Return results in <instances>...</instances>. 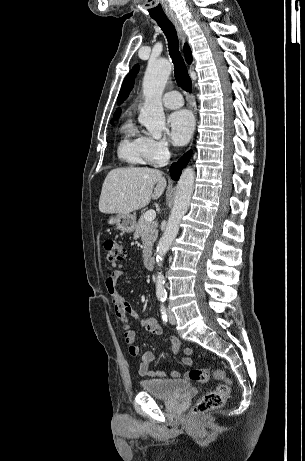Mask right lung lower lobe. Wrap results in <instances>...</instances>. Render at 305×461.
I'll return each mask as SVG.
<instances>
[{"label": "right lung lower lobe", "instance_id": "right-lung-lower-lobe-1", "mask_svg": "<svg viewBox=\"0 0 305 461\" xmlns=\"http://www.w3.org/2000/svg\"><path fill=\"white\" fill-rule=\"evenodd\" d=\"M191 157V151L187 152L177 163H174L170 167V173L173 180H178L181 174V170L187 165Z\"/></svg>", "mask_w": 305, "mask_h": 461}]
</instances>
